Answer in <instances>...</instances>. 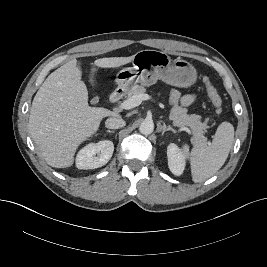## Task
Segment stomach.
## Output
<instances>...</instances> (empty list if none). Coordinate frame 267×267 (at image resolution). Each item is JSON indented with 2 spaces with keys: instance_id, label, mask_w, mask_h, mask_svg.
I'll list each match as a JSON object with an SVG mask.
<instances>
[{
  "instance_id": "1",
  "label": "stomach",
  "mask_w": 267,
  "mask_h": 267,
  "mask_svg": "<svg viewBox=\"0 0 267 267\" xmlns=\"http://www.w3.org/2000/svg\"><path fill=\"white\" fill-rule=\"evenodd\" d=\"M132 64L116 75L118 88L126 92L137 83L150 86L162 80L172 86L189 87L196 81V70L188 61L171 60L165 52L141 50L133 55Z\"/></svg>"
}]
</instances>
